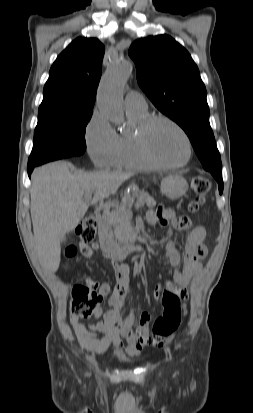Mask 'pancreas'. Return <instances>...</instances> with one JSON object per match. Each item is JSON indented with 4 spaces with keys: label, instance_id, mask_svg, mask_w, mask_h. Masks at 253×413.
Listing matches in <instances>:
<instances>
[{
    "label": "pancreas",
    "instance_id": "cf45deb5",
    "mask_svg": "<svg viewBox=\"0 0 253 413\" xmlns=\"http://www.w3.org/2000/svg\"><path fill=\"white\" fill-rule=\"evenodd\" d=\"M132 198H137L138 206L146 204L149 208H153L156 205L155 200L148 192L135 191L132 196L126 195L122 199L120 206H116L111 211L103 214L105 223L113 228L116 239L120 244L127 245L136 240L135 233L131 227L132 212L129 204Z\"/></svg>",
    "mask_w": 253,
    "mask_h": 413
}]
</instances>
